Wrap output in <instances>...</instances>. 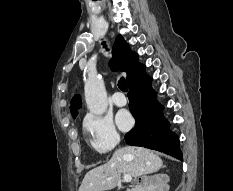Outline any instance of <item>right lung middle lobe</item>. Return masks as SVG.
Listing matches in <instances>:
<instances>
[{"mask_svg":"<svg viewBox=\"0 0 233 191\" xmlns=\"http://www.w3.org/2000/svg\"><path fill=\"white\" fill-rule=\"evenodd\" d=\"M77 116V114H74L73 117L75 118Z\"/></svg>","mask_w":233,"mask_h":191,"instance_id":"dd1d6c3e","label":"right lung middle lobe"}]
</instances>
